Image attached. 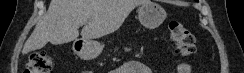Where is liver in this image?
<instances>
[{"mask_svg": "<svg viewBox=\"0 0 244 73\" xmlns=\"http://www.w3.org/2000/svg\"><path fill=\"white\" fill-rule=\"evenodd\" d=\"M147 0H51L46 15L36 24L22 54L41 49L48 42L64 44L76 40L79 25L82 39L91 41L118 30L130 12Z\"/></svg>", "mask_w": 244, "mask_h": 73, "instance_id": "obj_1", "label": "liver"}]
</instances>
